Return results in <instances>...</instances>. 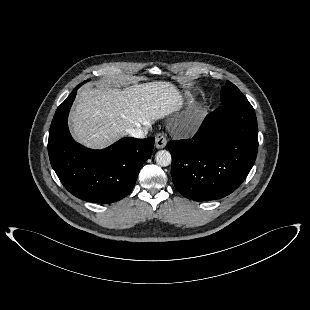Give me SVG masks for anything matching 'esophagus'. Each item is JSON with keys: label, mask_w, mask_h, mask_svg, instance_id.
<instances>
[{"label": "esophagus", "mask_w": 310, "mask_h": 310, "mask_svg": "<svg viewBox=\"0 0 310 310\" xmlns=\"http://www.w3.org/2000/svg\"><path fill=\"white\" fill-rule=\"evenodd\" d=\"M167 139L163 133H158L155 137V146L158 149H162L166 146Z\"/></svg>", "instance_id": "1"}]
</instances>
